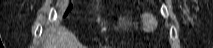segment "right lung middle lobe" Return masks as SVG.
<instances>
[{"mask_svg": "<svg viewBox=\"0 0 213 48\" xmlns=\"http://www.w3.org/2000/svg\"><path fill=\"white\" fill-rule=\"evenodd\" d=\"M71 9H72V5L69 6L67 12L65 13V16H66V14L69 12V10H71Z\"/></svg>", "mask_w": 213, "mask_h": 48, "instance_id": "right-lung-middle-lobe-1", "label": "right lung middle lobe"}]
</instances>
